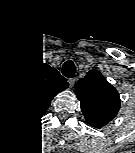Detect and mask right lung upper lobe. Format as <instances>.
<instances>
[{"label":"right lung upper lobe","mask_w":135,"mask_h":153,"mask_svg":"<svg viewBox=\"0 0 135 153\" xmlns=\"http://www.w3.org/2000/svg\"><path fill=\"white\" fill-rule=\"evenodd\" d=\"M68 86L66 79L54 68H40L22 83V97L30 114L41 112L51 98Z\"/></svg>","instance_id":"obj_1"}]
</instances>
